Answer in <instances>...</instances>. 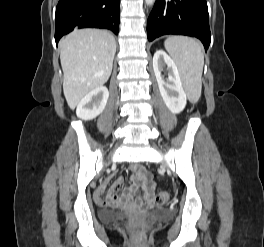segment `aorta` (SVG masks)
Returning <instances> with one entry per match:
<instances>
[{
  "instance_id": "aorta-1",
  "label": "aorta",
  "mask_w": 264,
  "mask_h": 247,
  "mask_svg": "<svg viewBox=\"0 0 264 247\" xmlns=\"http://www.w3.org/2000/svg\"><path fill=\"white\" fill-rule=\"evenodd\" d=\"M155 0H145L146 5L151 6L153 5Z\"/></svg>"
}]
</instances>
